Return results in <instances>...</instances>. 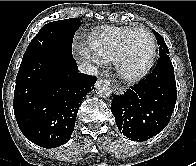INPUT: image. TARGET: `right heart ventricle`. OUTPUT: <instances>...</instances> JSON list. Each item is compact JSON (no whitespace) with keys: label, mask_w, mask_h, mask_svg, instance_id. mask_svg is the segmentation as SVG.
Returning a JSON list of instances; mask_svg holds the SVG:
<instances>
[{"label":"right heart ventricle","mask_w":196,"mask_h":166,"mask_svg":"<svg viewBox=\"0 0 196 166\" xmlns=\"http://www.w3.org/2000/svg\"><path fill=\"white\" fill-rule=\"evenodd\" d=\"M133 28L105 27L94 32L88 40L90 51L103 62L116 59L124 40Z\"/></svg>","instance_id":"e07e8e85"}]
</instances>
